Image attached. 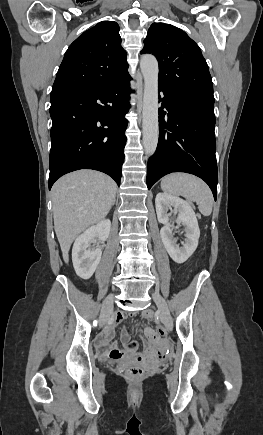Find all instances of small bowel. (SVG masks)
<instances>
[{
  "instance_id": "obj_1",
  "label": "small bowel",
  "mask_w": 263,
  "mask_h": 435,
  "mask_svg": "<svg viewBox=\"0 0 263 435\" xmlns=\"http://www.w3.org/2000/svg\"><path fill=\"white\" fill-rule=\"evenodd\" d=\"M133 315V314H132ZM145 317L149 314L146 312ZM126 314L118 312L114 318V324L123 322ZM114 324H109L103 334L98 339V347L105 356L111 359L119 360L123 357H136L138 356V344L130 339L129 334L126 331L121 332V341L125 345L124 349L119 348L118 343L113 341L115 337ZM148 340H151L150 346L147 345L145 349L146 354H152L156 361H163L165 354L163 353V336L158 334L157 331H152L150 328H145Z\"/></svg>"
}]
</instances>
